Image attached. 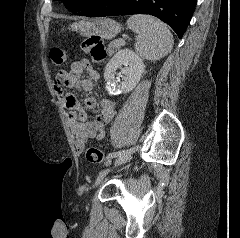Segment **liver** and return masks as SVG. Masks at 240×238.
Here are the masks:
<instances>
[{
  "instance_id": "1",
  "label": "liver",
  "mask_w": 240,
  "mask_h": 238,
  "mask_svg": "<svg viewBox=\"0 0 240 238\" xmlns=\"http://www.w3.org/2000/svg\"><path fill=\"white\" fill-rule=\"evenodd\" d=\"M81 25H82V23H73L71 25V29L76 31V30H78L81 27Z\"/></svg>"
}]
</instances>
